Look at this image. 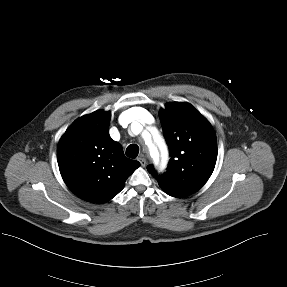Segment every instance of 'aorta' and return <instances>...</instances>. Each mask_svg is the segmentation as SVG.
Returning <instances> with one entry per match:
<instances>
[{
	"instance_id": "1",
	"label": "aorta",
	"mask_w": 287,
	"mask_h": 287,
	"mask_svg": "<svg viewBox=\"0 0 287 287\" xmlns=\"http://www.w3.org/2000/svg\"><path fill=\"white\" fill-rule=\"evenodd\" d=\"M150 153L154 155L153 161L157 164L159 162V152L157 147H155L154 145L150 146Z\"/></svg>"
}]
</instances>
